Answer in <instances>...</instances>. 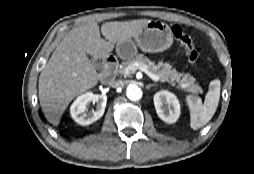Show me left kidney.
<instances>
[{"label": "left kidney", "instance_id": "left-kidney-1", "mask_svg": "<svg viewBox=\"0 0 254 174\" xmlns=\"http://www.w3.org/2000/svg\"><path fill=\"white\" fill-rule=\"evenodd\" d=\"M154 105L157 115L168 124L175 123L180 116V104L177 97L167 90L154 95Z\"/></svg>", "mask_w": 254, "mask_h": 174}]
</instances>
